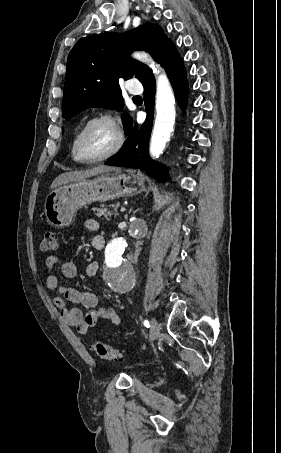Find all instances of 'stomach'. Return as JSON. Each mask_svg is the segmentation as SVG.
I'll use <instances>...</instances> for the list:
<instances>
[{
	"label": "stomach",
	"mask_w": 281,
	"mask_h": 453,
	"mask_svg": "<svg viewBox=\"0 0 281 453\" xmlns=\"http://www.w3.org/2000/svg\"><path fill=\"white\" fill-rule=\"evenodd\" d=\"M142 174L131 168L102 172L96 178L71 180L53 188L45 198L44 212L47 222L55 229H64L73 222L78 208L100 200H113L119 196H133L144 190Z\"/></svg>",
	"instance_id": "stomach-1"
}]
</instances>
